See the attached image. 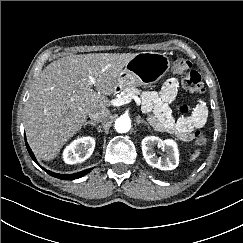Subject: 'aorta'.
I'll use <instances>...</instances> for the list:
<instances>
[{
	"label": "aorta",
	"mask_w": 243,
	"mask_h": 243,
	"mask_svg": "<svg viewBox=\"0 0 243 243\" xmlns=\"http://www.w3.org/2000/svg\"><path fill=\"white\" fill-rule=\"evenodd\" d=\"M115 129L118 133H126L131 128V120L128 116H120L115 121Z\"/></svg>",
	"instance_id": "aorta-1"
}]
</instances>
